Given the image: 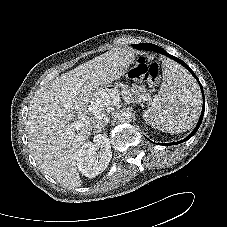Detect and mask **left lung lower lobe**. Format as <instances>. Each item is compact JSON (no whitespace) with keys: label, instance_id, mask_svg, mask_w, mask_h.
Listing matches in <instances>:
<instances>
[{"label":"left lung lower lobe","instance_id":"obj_1","mask_svg":"<svg viewBox=\"0 0 227 227\" xmlns=\"http://www.w3.org/2000/svg\"><path fill=\"white\" fill-rule=\"evenodd\" d=\"M135 48L137 49H145V50H152V51H155V52H160L168 57H170L171 59L177 61L178 63H180L181 65H183L184 67H186L188 69V71L191 72V74L196 78V80L198 81V83L200 84V87H201V91H202V95H203V108H202V113H201V116H200V119L198 121V124L196 126V128L193 130V132L188 136L186 137L184 140H181V141H178V142H174V143H166V144H161V145H166V146H169V145H175V144H179V143H182L184 141H187L189 138H191L198 130V128L200 127V124L202 122V119H203V115H204V109H205V98H204V94H203V89H202V86H201V83L199 82L198 78L196 77V75L194 74V72L190 69V67L185 63L183 62L182 60H180L179 58L177 57H174L172 55H169L165 52V50H163L162 48L156 46V45H153V44H138V45H134Z\"/></svg>","mask_w":227,"mask_h":227}]
</instances>
